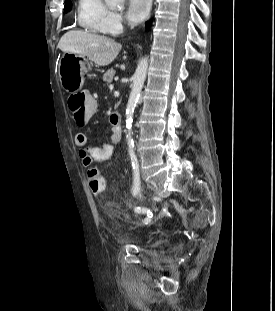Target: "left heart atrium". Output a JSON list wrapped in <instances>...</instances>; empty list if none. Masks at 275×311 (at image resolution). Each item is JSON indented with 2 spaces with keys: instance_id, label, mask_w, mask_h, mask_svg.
Masks as SVG:
<instances>
[{
  "instance_id": "obj_1",
  "label": "left heart atrium",
  "mask_w": 275,
  "mask_h": 311,
  "mask_svg": "<svg viewBox=\"0 0 275 311\" xmlns=\"http://www.w3.org/2000/svg\"><path fill=\"white\" fill-rule=\"evenodd\" d=\"M150 0H128L126 15L131 23L141 22L148 14Z\"/></svg>"
}]
</instances>
